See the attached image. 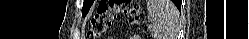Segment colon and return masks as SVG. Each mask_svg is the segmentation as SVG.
Segmentation results:
<instances>
[{"label": "colon", "instance_id": "obj_1", "mask_svg": "<svg viewBox=\"0 0 249 39\" xmlns=\"http://www.w3.org/2000/svg\"><path fill=\"white\" fill-rule=\"evenodd\" d=\"M137 3L133 0L100 1L96 12L90 18L88 38L103 36L119 14H128L132 24H139L142 11Z\"/></svg>", "mask_w": 249, "mask_h": 39}]
</instances>
